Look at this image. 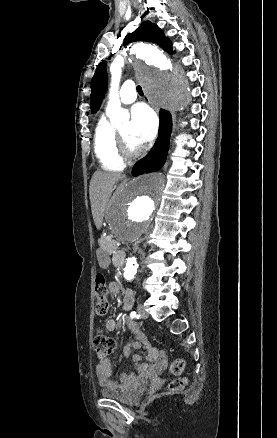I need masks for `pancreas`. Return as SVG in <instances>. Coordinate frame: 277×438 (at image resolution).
I'll return each mask as SVG.
<instances>
[{
	"label": "pancreas",
	"instance_id": "cf45deb5",
	"mask_svg": "<svg viewBox=\"0 0 277 438\" xmlns=\"http://www.w3.org/2000/svg\"><path fill=\"white\" fill-rule=\"evenodd\" d=\"M97 240L105 253H116L117 249L122 245L119 239L114 241L112 231H103Z\"/></svg>",
	"mask_w": 277,
	"mask_h": 438
}]
</instances>
